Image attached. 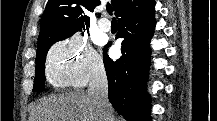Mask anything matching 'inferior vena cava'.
<instances>
[{"label": "inferior vena cava", "mask_w": 217, "mask_h": 121, "mask_svg": "<svg viewBox=\"0 0 217 121\" xmlns=\"http://www.w3.org/2000/svg\"><path fill=\"white\" fill-rule=\"evenodd\" d=\"M88 94L98 107L102 121H114L113 110L108 100V80L103 65H99L93 72Z\"/></svg>", "instance_id": "inferior-vena-cava-1"}]
</instances>
